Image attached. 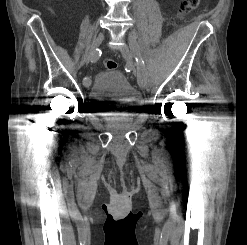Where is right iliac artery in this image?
I'll return each instance as SVG.
<instances>
[{"label": "right iliac artery", "mask_w": 247, "mask_h": 245, "mask_svg": "<svg viewBox=\"0 0 247 245\" xmlns=\"http://www.w3.org/2000/svg\"><path fill=\"white\" fill-rule=\"evenodd\" d=\"M101 56V52L99 49H96V51H94V53L91 55V57H99ZM86 63L88 62L87 60L85 61Z\"/></svg>", "instance_id": "obj_1"}]
</instances>
